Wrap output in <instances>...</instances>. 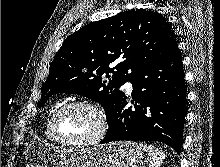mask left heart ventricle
<instances>
[{
	"label": "left heart ventricle",
	"mask_w": 220,
	"mask_h": 167,
	"mask_svg": "<svg viewBox=\"0 0 220 167\" xmlns=\"http://www.w3.org/2000/svg\"><path fill=\"white\" fill-rule=\"evenodd\" d=\"M97 128L96 117L83 107L65 109L57 118V135L64 140H78L91 136Z\"/></svg>",
	"instance_id": "obj_1"
}]
</instances>
